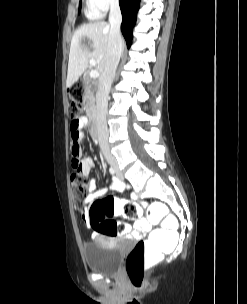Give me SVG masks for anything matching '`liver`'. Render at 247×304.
<instances>
[{
  "label": "liver",
  "mask_w": 247,
  "mask_h": 304,
  "mask_svg": "<svg viewBox=\"0 0 247 304\" xmlns=\"http://www.w3.org/2000/svg\"><path fill=\"white\" fill-rule=\"evenodd\" d=\"M110 25L98 21L81 25L73 34L69 52L66 86L71 87L89 66L91 58L96 60L99 75L104 70L109 41Z\"/></svg>",
  "instance_id": "6515ba94"
}]
</instances>
